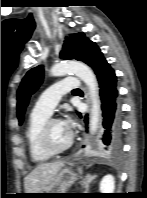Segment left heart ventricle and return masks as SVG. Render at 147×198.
I'll return each instance as SVG.
<instances>
[{
	"label": "left heart ventricle",
	"mask_w": 147,
	"mask_h": 198,
	"mask_svg": "<svg viewBox=\"0 0 147 198\" xmlns=\"http://www.w3.org/2000/svg\"><path fill=\"white\" fill-rule=\"evenodd\" d=\"M50 139L52 144L59 148L64 146L70 137V133L62 126L61 122H52L49 128Z\"/></svg>",
	"instance_id": "1"
}]
</instances>
